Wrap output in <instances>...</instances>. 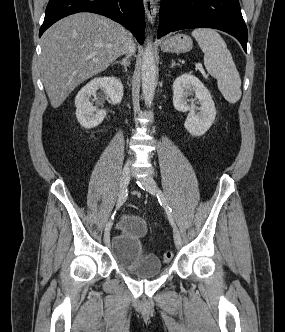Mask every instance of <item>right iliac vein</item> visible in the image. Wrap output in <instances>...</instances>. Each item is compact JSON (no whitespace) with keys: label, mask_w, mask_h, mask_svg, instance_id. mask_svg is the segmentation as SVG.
Masks as SVG:
<instances>
[{"label":"right iliac vein","mask_w":285,"mask_h":332,"mask_svg":"<svg viewBox=\"0 0 285 332\" xmlns=\"http://www.w3.org/2000/svg\"><path fill=\"white\" fill-rule=\"evenodd\" d=\"M130 167L126 166L122 170L121 179H120V193L127 188L130 178ZM110 241V232L106 231L104 234V243L108 244Z\"/></svg>","instance_id":"63e3f726"}]
</instances>
